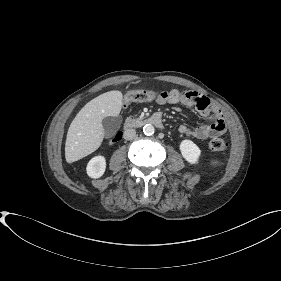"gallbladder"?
I'll list each match as a JSON object with an SVG mask.
<instances>
[{
	"mask_svg": "<svg viewBox=\"0 0 281 281\" xmlns=\"http://www.w3.org/2000/svg\"><path fill=\"white\" fill-rule=\"evenodd\" d=\"M122 122V118L120 116L116 117H105L102 120V126L104 129V135L106 137H111L115 134V132L119 129Z\"/></svg>",
	"mask_w": 281,
	"mask_h": 281,
	"instance_id": "obj_1",
	"label": "gallbladder"
}]
</instances>
